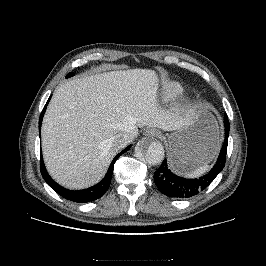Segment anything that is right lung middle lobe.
<instances>
[{
  "mask_svg": "<svg viewBox=\"0 0 266 266\" xmlns=\"http://www.w3.org/2000/svg\"><path fill=\"white\" fill-rule=\"evenodd\" d=\"M74 75V73H69L67 76H66V78H68V77H71V76H73Z\"/></svg>",
  "mask_w": 266,
  "mask_h": 266,
  "instance_id": "right-lung-middle-lobe-1",
  "label": "right lung middle lobe"
}]
</instances>
